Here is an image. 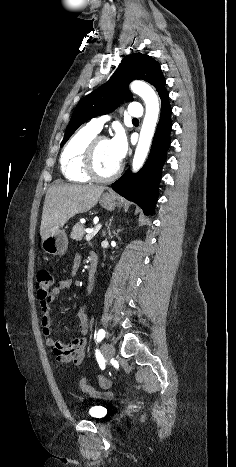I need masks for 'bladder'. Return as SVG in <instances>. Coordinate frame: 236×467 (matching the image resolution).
<instances>
[{
	"label": "bladder",
	"instance_id": "obj_1",
	"mask_svg": "<svg viewBox=\"0 0 236 467\" xmlns=\"http://www.w3.org/2000/svg\"><path fill=\"white\" fill-rule=\"evenodd\" d=\"M103 406L95 405L88 410V414L93 419H101L107 413V410H102Z\"/></svg>",
	"mask_w": 236,
	"mask_h": 467
}]
</instances>
